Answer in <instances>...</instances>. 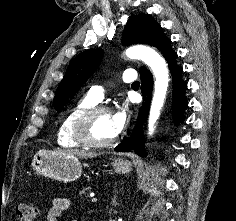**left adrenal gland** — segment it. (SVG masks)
<instances>
[{"mask_svg":"<svg viewBox=\"0 0 236 221\" xmlns=\"http://www.w3.org/2000/svg\"><path fill=\"white\" fill-rule=\"evenodd\" d=\"M113 205H116V195H114V198L112 199Z\"/></svg>","mask_w":236,"mask_h":221,"instance_id":"left-adrenal-gland-1","label":"left adrenal gland"}]
</instances>
